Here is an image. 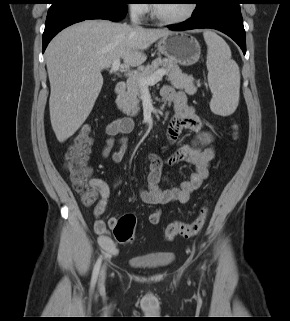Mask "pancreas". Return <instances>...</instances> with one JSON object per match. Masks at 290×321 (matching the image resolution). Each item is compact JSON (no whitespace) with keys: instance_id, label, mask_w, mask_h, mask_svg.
<instances>
[{"instance_id":"obj_1","label":"pancreas","mask_w":290,"mask_h":321,"mask_svg":"<svg viewBox=\"0 0 290 321\" xmlns=\"http://www.w3.org/2000/svg\"><path fill=\"white\" fill-rule=\"evenodd\" d=\"M159 67L166 71L168 80L175 88L183 89L189 95L196 93L197 87L192 76L182 73V70L175 62L158 57L146 67L139 68L137 74L127 80V91L116 100L118 108L123 113L131 116H135L138 113L139 97L144 89L139 80L150 77Z\"/></svg>"}]
</instances>
